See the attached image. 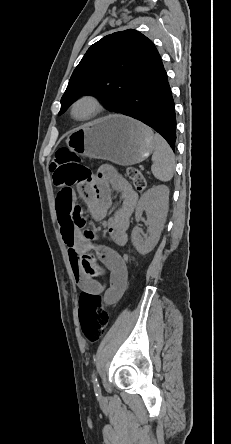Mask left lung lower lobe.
Here are the masks:
<instances>
[{"instance_id":"obj_1","label":"left lung lower lobe","mask_w":231,"mask_h":444,"mask_svg":"<svg viewBox=\"0 0 231 444\" xmlns=\"http://www.w3.org/2000/svg\"><path fill=\"white\" fill-rule=\"evenodd\" d=\"M118 113L133 117L150 126L175 150L174 101L160 55L140 75L136 87Z\"/></svg>"}]
</instances>
